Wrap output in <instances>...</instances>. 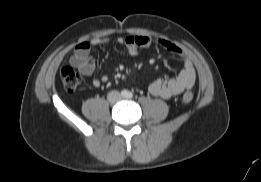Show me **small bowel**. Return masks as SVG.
<instances>
[{"label": "small bowel", "mask_w": 261, "mask_h": 182, "mask_svg": "<svg viewBox=\"0 0 261 182\" xmlns=\"http://www.w3.org/2000/svg\"><path fill=\"white\" fill-rule=\"evenodd\" d=\"M108 38H94L91 41H82L76 46L73 55L70 57V65L76 68L82 75L91 76L95 71L94 59L90 54L93 46H102L109 43ZM117 43L126 47L129 55L136 56L141 49L149 48L157 43L168 52L180 57L183 61V68L175 77L163 76L149 85V92L153 96L165 99L172 98L186 89H191L196 80V71L191 57L177 44L170 40H154L147 36L119 37ZM108 81V76L94 78L93 86L99 87Z\"/></svg>", "instance_id": "small-bowel-1"}]
</instances>
